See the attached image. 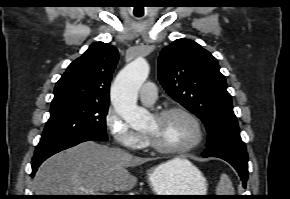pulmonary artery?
I'll use <instances>...</instances> for the list:
<instances>
[{"mask_svg":"<svg viewBox=\"0 0 290 199\" xmlns=\"http://www.w3.org/2000/svg\"><path fill=\"white\" fill-rule=\"evenodd\" d=\"M139 98L146 105H152L157 100V89L154 83L147 82L139 90Z\"/></svg>","mask_w":290,"mask_h":199,"instance_id":"1","label":"pulmonary artery"}]
</instances>
